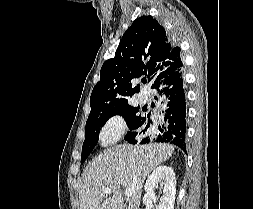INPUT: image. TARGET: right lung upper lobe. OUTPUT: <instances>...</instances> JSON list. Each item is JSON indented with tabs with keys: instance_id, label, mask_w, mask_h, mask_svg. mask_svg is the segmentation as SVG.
Wrapping results in <instances>:
<instances>
[{
	"instance_id": "right-lung-upper-lobe-1",
	"label": "right lung upper lobe",
	"mask_w": 253,
	"mask_h": 209,
	"mask_svg": "<svg viewBox=\"0 0 253 209\" xmlns=\"http://www.w3.org/2000/svg\"><path fill=\"white\" fill-rule=\"evenodd\" d=\"M180 51L152 16L136 19L124 33L115 57L100 70V81L90 97L89 117L130 107V98L139 91L132 84L135 78L145 76L151 88H158L168 76L182 70Z\"/></svg>"
}]
</instances>
